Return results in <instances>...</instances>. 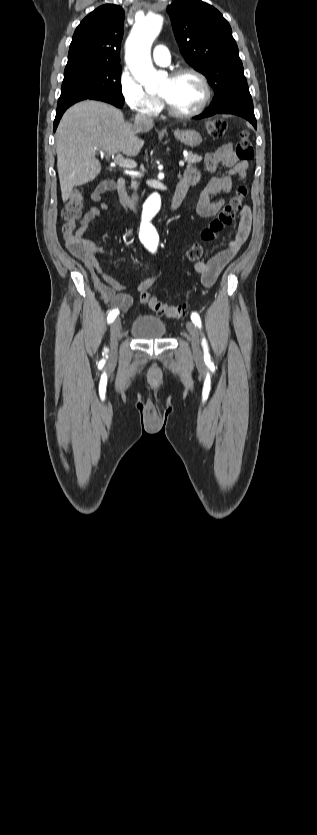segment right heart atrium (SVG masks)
<instances>
[{"label": "right heart atrium", "mask_w": 317, "mask_h": 835, "mask_svg": "<svg viewBox=\"0 0 317 835\" xmlns=\"http://www.w3.org/2000/svg\"><path fill=\"white\" fill-rule=\"evenodd\" d=\"M119 88L124 102L135 113L144 117H155L162 110L161 100L147 93L126 69L119 76Z\"/></svg>", "instance_id": "right-heart-atrium-1"}]
</instances>
